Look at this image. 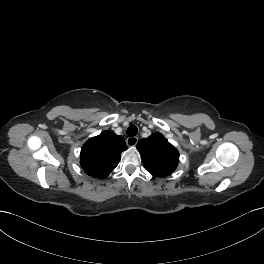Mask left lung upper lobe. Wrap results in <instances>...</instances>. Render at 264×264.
I'll list each match as a JSON object with an SVG mask.
<instances>
[{"label":"left lung upper lobe","instance_id":"obj_1","mask_svg":"<svg viewBox=\"0 0 264 264\" xmlns=\"http://www.w3.org/2000/svg\"><path fill=\"white\" fill-rule=\"evenodd\" d=\"M137 149L146 170L153 176H167L176 169L179 152L162 134L155 133L140 140Z\"/></svg>","mask_w":264,"mask_h":264}]
</instances>
